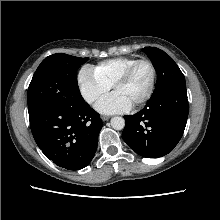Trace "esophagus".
<instances>
[{
  "instance_id": "34e87169",
  "label": "esophagus",
  "mask_w": 220,
  "mask_h": 220,
  "mask_svg": "<svg viewBox=\"0 0 220 220\" xmlns=\"http://www.w3.org/2000/svg\"><path fill=\"white\" fill-rule=\"evenodd\" d=\"M101 119H102L103 121H108V120L110 119V117H109V116H102Z\"/></svg>"
}]
</instances>
